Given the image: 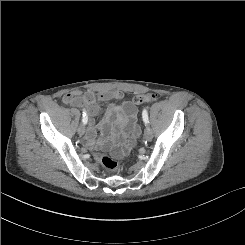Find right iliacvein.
Returning a JSON list of instances; mask_svg holds the SVG:
<instances>
[{
	"mask_svg": "<svg viewBox=\"0 0 245 245\" xmlns=\"http://www.w3.org/2000/svg\"><path fill=\"white\" fill-rule=\"evenodd\" d=\"M85 133V126L84 124H80L78 127V134L83 135Z\"/></svg>",
	"mask_w": 245,
	"mask_h": 245,
	"instance_id": "obj_1",
	"label": "right iliac vein"
}]
</instances>
